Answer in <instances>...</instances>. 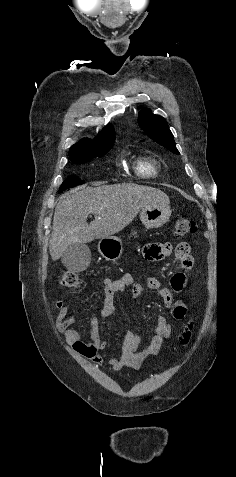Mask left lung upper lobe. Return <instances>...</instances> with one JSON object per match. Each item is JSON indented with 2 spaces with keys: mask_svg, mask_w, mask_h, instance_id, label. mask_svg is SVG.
<instances>
[{
  "mask_svg": "<svg viewBox=\"0 0 236 477\" xmlns=\"http://www.w3.org/2000/svg\"><path fill=\"white\" fill-rule=\"evenodd\" d=\"M138 119L141 129L148 137L172 153L179 154L175 146L173 134L162 116L153 115L150 110H145L140 112Z\"/></svg>",
  "mask_w": 236,
  "mask_h": 477,
  "instance_id": "left-lung-upper-lobe-1",
  "label": "left lung upper lobe"
}]
</instances>
